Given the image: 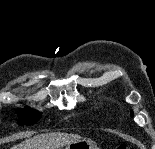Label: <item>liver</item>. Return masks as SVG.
<instances>
[{"instance_id":"6515ba94","label":"liver","mask_w":155,"mask_h":149,"mask_svg":"<svg viewBox=\"0 0 155 149\" xmlns=\"http://www.w3.org/2000/svg\"><path fill=\"white\" fill-rule=\"evenodd\" d=\"M82 139L77 134L46 133L28 138L11 149H60L61 147Z\"/></svg>"}]
</instances>
